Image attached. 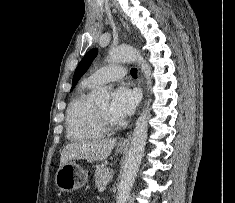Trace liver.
I'll use <instances>...</instances> for the list:
<instances>
[{
  "label": "liver",
  "instance_id": "6515ba94",
  "mask_svg": "<svg viewBox=\"0 0 235 203\" xmlns=\"http://www.w3.org/2000/svg\"><path fill=\"white\" fill-rule=\"evenodd\" d=\"M117 139H93L67 144L61 152L60 166L72 161L85 159L101 161L111 154Z\"/></svg>",
  "mask_w": 235,
  "mask_h": 203
}]
</instances>
